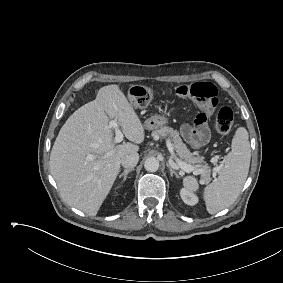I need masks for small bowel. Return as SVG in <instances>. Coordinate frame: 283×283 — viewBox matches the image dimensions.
<instances>
[{
    "label": "small bowel",
    "instance_id": "1",
    "mask_svg": "<svg viewBox=\"0 0 283 283\" xmlns=\"http://www.w3.org/2000/svg\"><path fill=\"white\" fill-rule=\"evenodd\" d=\"M181 134L190 147L194 149L203 147L207 143L210 134L206 114H198L194 125H182Z\"/></svg>",
    "mask_w": 283,
    "mask_h": 283
}]
</instances>
